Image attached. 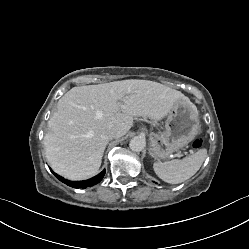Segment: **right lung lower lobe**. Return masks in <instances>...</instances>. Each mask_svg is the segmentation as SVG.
<instances>
[{
    "mask_svg": "<svg viewBox=\"0 0 249 249\" xmlns=\"http://www.w3.org/2000/svg\"><path fill=\"white\" fill-rule=\"evenodd\" d=\"M51 170V169H50ZM52 171V170H51ZM52 173L60 180L62 181L63 183L67 184L68 186H71L73 188H86V187H91L97 183H99L102 178L104 177V174H105V170H103L101 173H99L97 176L91 178V179H88V180H85V181H69V180H66L64 179L63 177L57 175L56 173H54L52 171Z\"/></svg>",
    "mask_w": 249,
    "mask_h": 249,
    "instance_id": "right-lung-lower-lobe-1",
    "label": "right lung lower lobe"
}]
</instances>
